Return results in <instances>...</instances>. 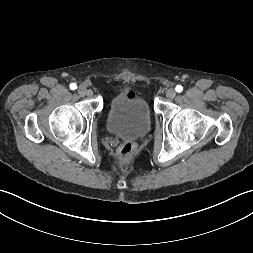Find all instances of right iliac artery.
<instances>
[{
  "mask_svg": "<svg viewBox=\"0 0 253 253\" xmlns=\"http://www.w3.org/2000/svg\"><path fill=\"white\" fill-rule=\"evenodd\" d=\"M70 89H71V90L77 89L76 84H75V83L70 84Z\"/></svg>",
  "mask_w": 253,
  "mask_h": 253,
  "instance_id": "1",
  "label": "right iliac artery"
}]
</instances>
